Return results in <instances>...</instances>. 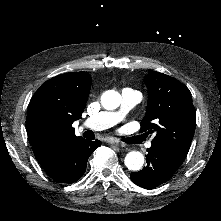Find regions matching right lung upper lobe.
I'll use <instances>...</instances> for the list:
<instances>
[{
    "label": "right lung upper lobe",
    "instance_id": "1",
    "mask_svg": "<svg viewBox=\"0 0 221 221\" xmlns=\"http://www.w3.org/2000/svg\"><path fill=\"white\" fill-rule=\"evenodd\" d=\"M92 84L86 72H70L46 81L28 106L26 130L38 162L76 137L72 123L81 118Z\"/></svg>",
    "mask_w": 221,
    "mask_h": 221
}]
</instances>
